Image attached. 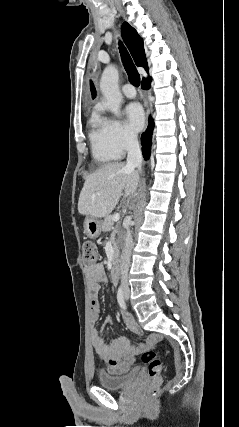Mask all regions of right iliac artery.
<instances>
[{"mask_svg": "<svg viewBox=\"0 0 239 427\" xmlns=\"http://www.w3.org/2000/svg\"><path fill=\"white\" fill-rule=\"evenodd\" d=\"M117 301L121 308L126 309L122 287H119L117 292Z\"/></svg>", "mask_w": 239, "mask_h": 427, "instance_id": "obj_1", "label": "right iliac artery"}]
</instances>
